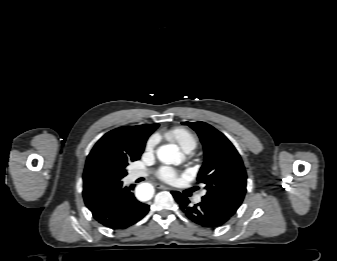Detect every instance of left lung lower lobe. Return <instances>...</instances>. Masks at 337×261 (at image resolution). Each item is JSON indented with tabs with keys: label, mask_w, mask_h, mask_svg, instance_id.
<instances>
[{
	"label": "left lung lower lobe",
	"mask_w": 337,
	"mask_h": 261,
	"mask_svg": "<svg viewBox=\"0 0 337 261\" xmlns=\"http://www.w3.org/2000/svg\"><path fill=\"white\" fill-rule=\"evenodd\" d=\"M172 195L180 205L183 213L194 223L205 227L215 229L225 224L231 218L222 210L208 202H200L194 206L190 205L187 197L180 192L173 191Z\"/></svg>",
	"instance_id": "1"
}]
</instances>
